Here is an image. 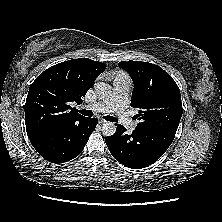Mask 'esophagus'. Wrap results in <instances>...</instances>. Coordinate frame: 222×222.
<instances>
[{
  "instance_id": "34e87169",
  "label": "esophagus",
  "mask_w": 222,
  "mask_h": 222,
  "mask_svg": "<svg viewBox=\"0 0 222 222\" xmlns=\"http://www.w3.org/2000/svg\"><path fill=\"white\" fill-rule=\"evenodd\" d=\"M107 121L103 120V119H100L99 120V124H105Z\"/></svg>"
}]
</instances>
